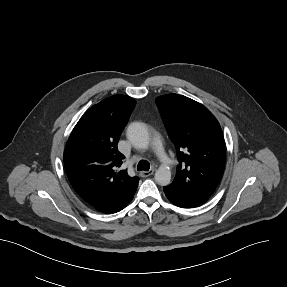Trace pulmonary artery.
<instances>
[{
  "mask_svg": "<svg viewBox=\"0 0 287 287\" xmlns=\"http://www.w3.org/2000/svg\"><path fill=\"white\" fill-rule=\"evenodd\" d=\"M152 145L154 150L156 151V153L160 156L163 157L164 156V147H163V143H162V139L160 137L159 134H155L152 140Z\"/></svg>",
  "mask_w": 287,
  "mask_h": 287,
  "instance_id": "obj_1",
  "label": "pulmonary artery"
}]
</instances>
